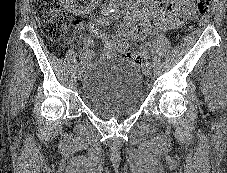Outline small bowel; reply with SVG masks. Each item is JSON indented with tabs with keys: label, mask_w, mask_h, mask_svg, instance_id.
<instances>
[{
	"label": "small bowel",
	"mask_w": 227,
	"mask_h": 173,
	"mask_svg": "<svg viewBox=\"0 0 227 173\" xmlns=\"http://www.w3.org/2000/svg\"><path fill=\"white\" fill-rule=\"evenodd\" d=\"M137 3L138 5L134 4L127 11L124 23L113 36H107L101 31L100 28L105 22L101 19L91 21L85 25L88 34L106 41L105 57H114L118 54L123 56L129 52L128 39L130 37L142 41L148 33L180 28L187 20L194 17L192 0H138ZM93 45V38L87 37L84 39L81 58L88 67L93 64V51L91 49ZM140 56L143 61L144 54H140Z\"/></svg>",
	"instance_id": "obj_1"
}]
</instances>
